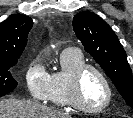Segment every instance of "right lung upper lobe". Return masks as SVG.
Segmentation results:
<instances>
[{
	"label": "right lung upper lobe",
	"mask_w": 133,
	"mask_h": 118,
	"mask_svg": "<svg viewBox=\"0 0 133 118\" xmlns=\"http://www.w3.org/2000/svg\"><path fill=\"white\" fill-rule=\"evenodd\" d=\"M32 25V19L22 14H13L0 23V60H18Z\"/></svg>",
	"instance_id": "1"
}]
</instances>
